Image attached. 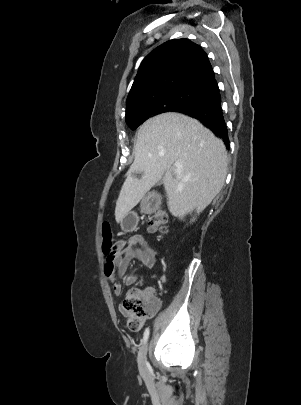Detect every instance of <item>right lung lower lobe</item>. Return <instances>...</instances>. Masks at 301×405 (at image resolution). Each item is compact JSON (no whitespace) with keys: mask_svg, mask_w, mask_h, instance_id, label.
Masks as SVG:
<instances>
[{"mask_svg":"<svg viewBox=\"0 0 301 405\" xmlns=\"http://www.w3.org/2000/svg\"><path fill=\"white\" fill-rule=\"evenodd\" d=\"M175 112L198 119L205 127L221 138L227 148L229 147L228 129L223 117L219 92L207 102L183 107Z\"/></svg>","mask_w":301,"mask_h":405,"instance_id":"obj_1","label":"right lung lower lobe"}]
</instances>
